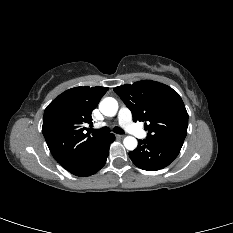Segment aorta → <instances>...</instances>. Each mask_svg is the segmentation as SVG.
Segmentation results:
<instances>
[{
  "label": "aorta",
  "instance_id": "762f6f07",
  "mask_svg": "<svg viewBox=\"0 0 233 233\" xmlns=\"http://www.w3.org/2000/svg\"><path fill=\"white\" fill-rule=\"evenodd\" d=\"M99 110L101 113L108 117H114L118 111V102L112 97L104 98L99 103ZM123 144L126 149L134 150L137 147V139L132 136H127L123 140Z\"/></svg>",
  "mask_w": 233,
  "mask_h": 233
}]
</instances>
